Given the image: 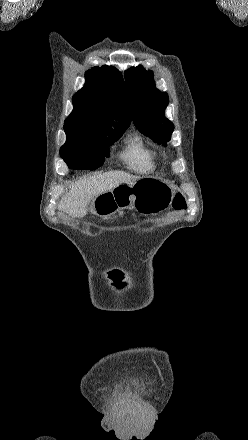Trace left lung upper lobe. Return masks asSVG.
<instances>
[{"label": "left lung upper lobe", "mask_w": 248, "mask_h": 440, "mask_svg": "<svg viewBox=\"0 0 248 440\" xmlns=\"http://www.w3.org/2000/svg\"><path fill=\"white\" fill-rule=\"evenodd\" d=\"M124 75L135 126L142 134L167 146L174 130L173 123L165 117L167 93L155 87L153 72L142 66L132 67Z\"/></svg>", "instance_id": "5c2ea615"}]
</instances>
